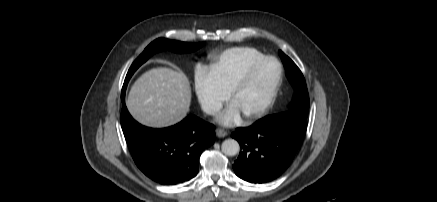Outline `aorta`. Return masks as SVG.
I'll list each match as a JSON object with an SVG mask.
<instances>
[{"mask_svg":"<svg viewBox=\"0 0 437 202\" xmlns=\"http://www.w3.org/2000/svg\"><path fill=\"white\" fill-rule=\"evenodd\" d=\"M222 152L228 156H234L239 153V143L234 139H226L221 145Z\"/></svg>","mask_w":437,"mask_h":202,"instance_id":"762f6f07","label":"aorta"}]
</instances>
